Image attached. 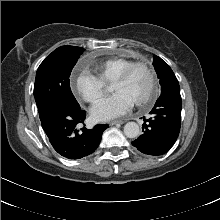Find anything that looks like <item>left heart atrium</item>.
<instances>
[{
  "instance_id": "obj_1",
  "label": "left heart atrium",
  "mask_w": 220,
  "mask_h": 220,
  "mask_svg": "<svg viewBox=\"0 0 220 220\" xmlns=\"http://www.w3.org/2000/svg\"><path fill=\"white\" fill-rule=\"evenodd\" d=\"M133 104L134 101L126 93L118 92L98 102L91 114L96 121H108L126 114Z\"/></svg>"
}]
</instances>
